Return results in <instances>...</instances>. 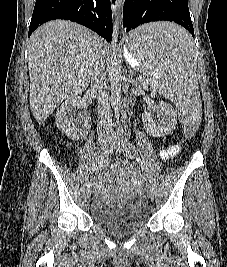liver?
I'll use <instances>...</instances> for the list:
<instances>
[{"mask_svg": "<svg viewBox=\"0 0 227 267\" xmlns=\"http://www.w3.org/2000/svg\"><path fill=\"white\" fill-rule=\"evenodd\" d=\"M103 40L77 23L54 20L30 37V106L39 124L63 101L88 87L97 48Z\"/></svg>", "mask_w": 227, "mask_h": 267, "instance_id": "liver-1", "label": "liver"}]
</instances>
